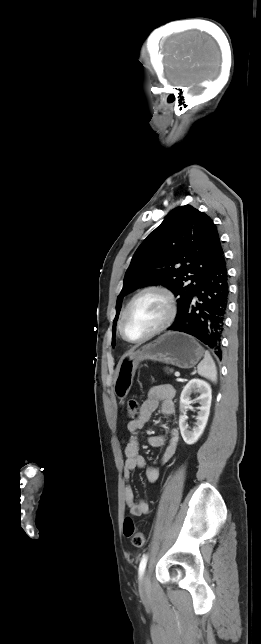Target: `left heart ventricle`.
Returning a JSON list of instances; mask_svg holds the SVG:
<instances>
[{"label": "left heart ventricle", "mask_w": 261, "mask_h": 644, "mask_svg": "<svg viewBox=\"0 0 261 644\" xmlns=\"http://www.w3.org/2000/svg\"><path fill=\"white\" fill-rule=\"evenodd\" d=\"M168 313L166 299L157 292L140 296L132 305L127 320L126 333L131 339H139L156 329Z\"/></svg>", "instance_id": "obj_1"}]
</instances>
